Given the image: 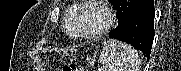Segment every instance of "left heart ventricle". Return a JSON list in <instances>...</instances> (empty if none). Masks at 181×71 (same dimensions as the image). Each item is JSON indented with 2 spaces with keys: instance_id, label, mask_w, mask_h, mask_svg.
<instances>
[{
  "instance_id": "b2bd125f",
  "label": "left heart ventricle",
  "mask_w": 181,
  "mask_h": 71,
  "mask_svg": "<svg viewBox=\"0 0 181 71\" xmlns=\"http://www.w3.org/2000/svg\"><path fill=\"white\" fill-rule=\"evenodd\" d=\"M105 21L104 14L97 7H86L80 14L78 31L85 34L95 32L105 24Z\"/></svg>"
}]
</instances>
